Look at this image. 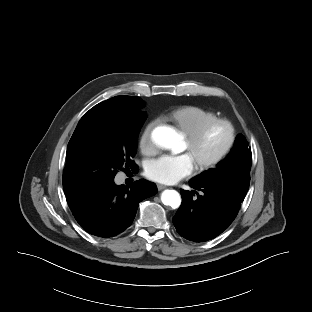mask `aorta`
<instances>
[{"mask_svg":"<svg viewBox=\"0 0 312 312\" xmlns=\"http://www.w3.org/2000/svg\"><path fill=\"white\" fill-rule=\"evenodd\" d=\"M153 142L163 148H173L175 146L174 134L168 127H156L152 132ZM161 200L164 205L176 209L181 204V197L175 190H165L161 195Z\"/></svg>","mask_w":312,"mask_h":312,"instance_id":"aorta-1","label":"aorta"}]
</instances>
